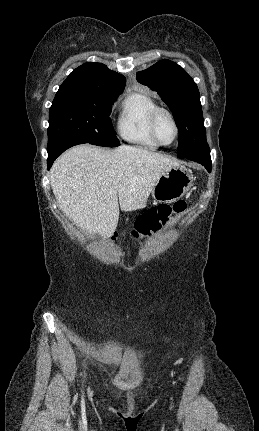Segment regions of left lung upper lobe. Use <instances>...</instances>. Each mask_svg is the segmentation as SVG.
<instances>
[{
    "label": "left lung upper lobe",
    "mask_w": 259,
    "mask_h": 431,
    "mask_svg": "<svg viewBox=\"0 0 259 431\" xmlns=\"http://www.w3.org/2000/svg\"><path fill=\"white\" fill-rule=\"evenodd\" d=\"M137 81L157 91L179 129L177 157L209 154L200 94L196 83L177 63L163 59L137 72Z\"/></svg>",
    "instance_id": "1"
}]
</instances>
